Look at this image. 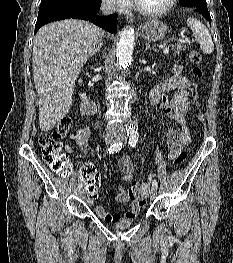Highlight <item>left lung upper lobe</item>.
<instances>
[{"instance_id": "5c2ea615", "label": "left lung upper lobe", "mask_w": 233, "mask_h": 263, "mask_svg": "<svg viewBox=\"0 0 233 263\" xmlns=\"http://www.w3.org/2000/svg\"><path fill=\"white\" fill-rule=\"evenodd\" d=\"M180 4L188 8L207 6L206 0H180Z\"/></svg>"}]
</instances>
